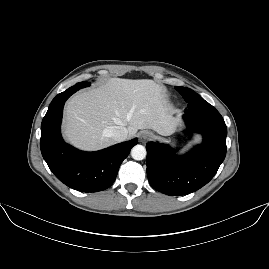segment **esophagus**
I'll use <instances>...</instances> for the list:
<instances>
[{"label": "esophagus", "instance_id": "esophagus-1", "mask_svg": "<svg viewBox=\"0 0 269 269\" xmlns=\"http://www.w3.org/2000/svg\"><path fill=\"white\" fill-rule=\"evenodd\" d=\"M153 138V133L150 131H144L139 135V141L141 143H146L147 141H150Z\"/></svg>", "mask_w": 269, "mask_h": 269}]
</instances>
